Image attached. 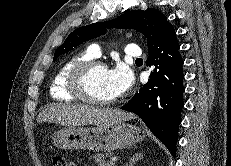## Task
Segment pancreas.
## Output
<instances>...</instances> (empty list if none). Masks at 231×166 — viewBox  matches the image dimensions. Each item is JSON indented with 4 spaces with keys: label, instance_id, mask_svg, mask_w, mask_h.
<instances>
[{
    "label": "pancreas",
    "instance_id": "obj_1",
    "mask_svg": "<svg viewBox=\"0 0 231 166\" xmlns=\"http://www.w3.org/2000/svg\"><path fill=\"white\" fill-rule=\"evenodd\" d=\"M108 157H110V155L107 153L96 154L93 156V159L98 166H114L115 164L113 162L107 160Z\"/></svg>",
    "mask_w": 231,
    "mask_h": 166
}]
</instances>
